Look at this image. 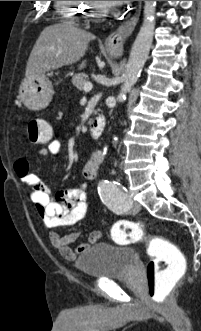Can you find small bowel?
Returning <instances> with one entry per match:
<instances>
[{"instance_id": "small-bowel-1", "label": "small bowel", "mask_w": 201, "mask_h": 331, "mask_svg": "<svg viewBox=\"0 0 201 331\" xmlns=\"http://www.w3.org/2000/svg\"><path fill=\"white\" fill-rule=\"evenodd\" d=\"M62 151V144L58 140L48 143L46 148L41 149L38 154L44 156H57ZM105 154L96 150L83 167L85 179L95 177L99 165L103 162ZM14 168L19 179L29 187L30 197L37 209L43 224L50 229L62 226H72L81 221L87 212V194L84 183L76 187L62 190L51 196L48 187L30 171L29 162L20 158L14 163ZM78 238V233L60 235L57 232L50 233L52 245L59 253L68 260H75L85 252L93 243L101 238L99 231L93 232L88 241L81 243L76 248L71 244Z\"/></svg>"}]
</instances>
